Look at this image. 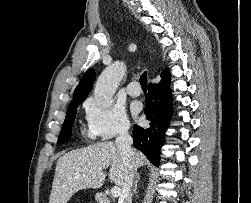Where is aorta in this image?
Instances as JSON below:
<instances>
[{
    "mask_svg": "<svg viewBox=\"0 0 251 203\" xmlns=\"http://www.w3.org/2000/svg\"><path fill=\"white\" fill-rule=\"evenodd\" d=\"M126 72V65L122 61H116L107 66L99 76L94 89L96 102L105 108L113 104L116 89Z\"/></svg>",
    "mask_w": 251,
    "mask_h": 203,
    "instance_id": "762f6f07",
    "label": "aorta"
}]
</instances>
